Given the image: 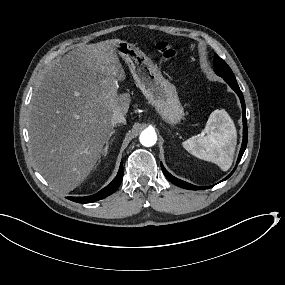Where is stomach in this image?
<instances>
[{
    "instance_id": "obj_1",
    "label": "stomach",
    "mask_w": 285,
    "mask_h": 285,
    "mask_svg": "<svg viewBox=\"0 0 285 285\" xmlns=\"http://www.w3.org/2000/svg\"><path fill=\"white\" fill-rule=\"evenodd\" d=\"M115 50L128 64L136 85L162 119L171 125L179 123L184 109L175 85L165 79L153 61L133 44L118 40Z\"/></svg>"
}]
</instances>
